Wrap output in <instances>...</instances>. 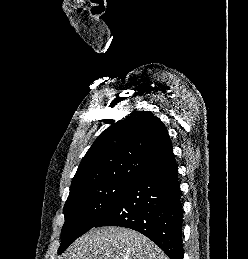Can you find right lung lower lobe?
Listing matches in <instances>:
<instances>
[{
	"label": "right lung lower lobe",
	"instance_id": "obj_1",
	"mask_svg": "<svg viewBox=\"0 0 248 259\" xmlns=\"http://www.w3.org/2000/svg\"><path fill=\"white\" fill-rule=\"evenodd\" d=\"M178 166L176 162L137 178L94 227L136 230L156 243L170 259H183Z\"/></svg>",
	"mask_w": 248,
	"mask_h": 259
}]
</instances>
